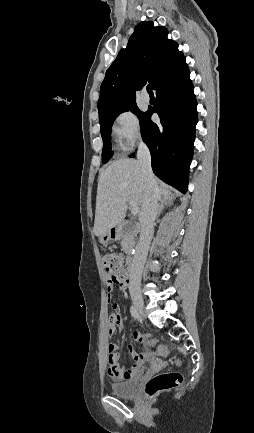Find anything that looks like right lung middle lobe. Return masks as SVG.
<instances>
[{"mask_svg":"<svg viewBox=\"0 0 254 433\" xmlns=\"http://www.w3.org/2000/svg\"><path fill=\"white\" fill-rule=\"evenodd\" d=\"M131 110L138 119L140 120L144 115V112L140 111L136 105V102L122 105L118 108L109 110L99 116V122L101 126V136L103 139V151H102V161L106 163L111 158L113 152L111 151V127L115 118L122 112Z\"/></svg>","mask_w":254,"mask_h":433,"instance_id":"obj_1","label":"right lung middle lobe"}]
</instances>
